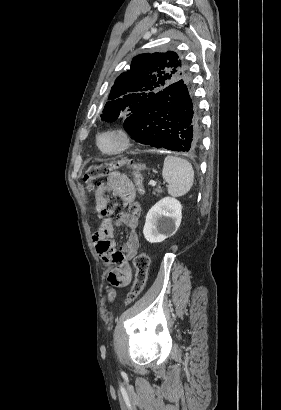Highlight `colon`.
Wrapping results in <instances>:
<instances>
[{"label": "colon", "mask_w": 281, "mask_h": 410, "mask_svg": "<svg viewBox=\"0 0 281 410\" xmlns=\"http://www.w3.org/2000/svg\"><path fill=\"white\" fill-rule=\"evenodd\" d=\"M127 161L120 160L111 163H103L97 164L89 167L84 175L85 183L90 187L91 184L95 181H99L113 173V171L122 165L126 164ZM134 182L137 186L139 192H143L142 187V177L139 172L134 171ZM109 205L111 207H121L127 206L129 208L130 213L138 214L139 213V205L134 201H129L127 198L121 195H113L109 199ZM149 256L146 252H141L138 254L134 259V266H135V280L131 290L128 292L126 297L127 303L134 302L139 295L143 292L146 282L148 279V268H149Z\"/></svg>", "instance_id": "1"}]
</instances>
